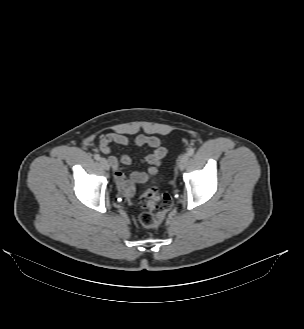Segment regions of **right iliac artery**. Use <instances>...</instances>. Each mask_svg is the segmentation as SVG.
Returning <instances> with one entry per match:
<instances>
[{"mask_svg":"<svg viewBox=\"0 0 304 329\" xmlns=\"http://www.w3.org/2000/svg\"><path fill=\"white\" fill-rule=\"evenodd\" d=\"M94 158H95L96 160H100V155H99V154H95V155H94Z\"/></svg>","mask_w":304,"mask_h":329,"instance_id":"1","label":"right iliac artery"}]
</instances>
